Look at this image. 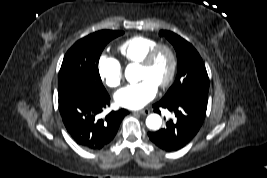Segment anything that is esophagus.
Returning <instances> with one entry per match:
<instances>
[{"label":"esophagus","mask_w":267,"mask_h":178,"mask_svg":"<svg viewBox=\"0 0 267 178\" xmlns=\"http://www.w3.org/2000/svg\"><path fill=\"white\" fill-rule=\"evenodd\" d=\"M137 113L142 114V115H147L150 113V110L149 109H143V110L137 111Z\"/></svg>","instance_id":"34e87169"}]
</instances>
